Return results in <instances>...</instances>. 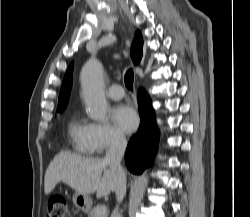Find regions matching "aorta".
<instances>
[{
  "mask_svg": "<svg viewBox=\"0 0 250 217\" xmlns=\"http://www.w3.org/2000/svg\"><path fill=\"white\" fill-rule=\"evenodd\" d=\"M82 97L91 119L103 120L108 111V103L104 94V80L102 64L91 58L83 66L80 73Z\"/></svg>",
  "mask_w": 250,
  "mask_h": 217,
  "instance_id": "aorta-1",
  "label": "aorta"
}]
</instances>
